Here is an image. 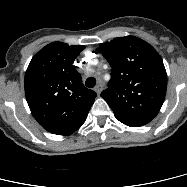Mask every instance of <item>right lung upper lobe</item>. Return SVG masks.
Masks as SVG:
<instances>
[{
  "label": "right lung upper lobe",
  "instance_id": "obj_1",
  "mask_svg": "<svg viewBox=\"0 0 187 187\" xmlns=\"http://www.w3.org/2000/svg\"><path fill=\"white\" fill-rule=\"evenodd\" d=\"M85 47L53 42L31 60L25 74V94L34 118L48 132L70 135L78 130L96 93L82 84L73 62Z\"/></svg>",
  "mask_w": 187,
  "mask_h": 187
}]
</instances>
